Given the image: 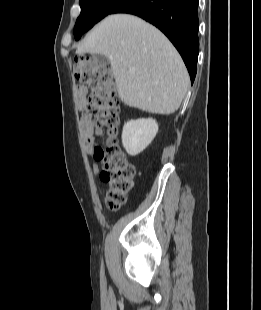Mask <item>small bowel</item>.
<instances>
[{"mask_svg": "<svg viewBox=\"0 0 261 310\" xmlns=\"http://www.w3.org/2000/svg\"><path fill=\"white\" fill-rule=\"evenodd\" d=\"M78 96L80 98L81 103L85 100L87 96V89L84 87H78L77 89ZM81 128L83 136L85 137L86 143L88 145L89 151L92 150V148L98 146L95 139L92 136V130L94 128V124L89 116L83 115L81 117ZM94 173L99 172L98 165L93 166Z\"/></svg>", "mask_w": 261, "mask_h": 310, "instance_id": "1", "label": "small bowel"}]
</instances>
